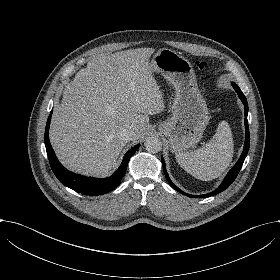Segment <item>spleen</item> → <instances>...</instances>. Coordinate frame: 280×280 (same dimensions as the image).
I'll return each mask as SVG.
<instances>
[{
	"mask_svg": "<svg viewBox=\"0 0 280 280\" xmlns=\"http://www.w3.org/2000/svg\"><path fill=\"white\" fill-rule=\"evenodd\" d=\"M234 155V139L230 124L222 121L214 138L195 152L176 153V161L194 177L212 181L230 166Z\"/></svg>",
	"mask_w": 280,
	"mask_h": 280,
	"instance_id": "3e777b00",
	"label": "spleen"
}]
</instances>
